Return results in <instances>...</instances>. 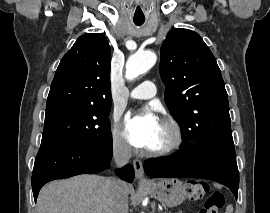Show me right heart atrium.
Wrapping results in <instances>:
<instances>
[{"label":"right heart atrium","instance_id":"right-heart-atrium-1","mask_svg":"<svg viewBox=\"0 0 270 213\" xmlns=\"http://www.w3.org/2000/svg\"><path fill=\"white\" fill-rule=\"evenodd\" d=\"M111 147L115 154L122 157H126L130 153V148L122 137L117 120L111 129Z\"/></svg>","mask_w":270,"mask_h":213}]
</instances>
